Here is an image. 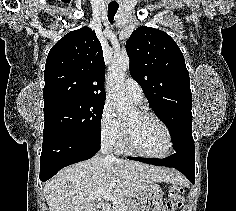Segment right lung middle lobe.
I'll use <instances>...</instances> for the list:
<instances>
[{"mask_svg": "<svg viewBox=\"0 0 236 211\" xmlns=\"http://www.w3.org/2000/svg\"><path fill=\"white\" fill-rule=\"evenodd\" d=\"M104 101L62 99L44 105V130L72 132L101 139L100 124Z\"/></svg>", "mask_w": 236, "mask_h": 211, "instance_id": "right-lung-middle-lobe-1", "label": "right lung middle lobe"}]
</instances>
